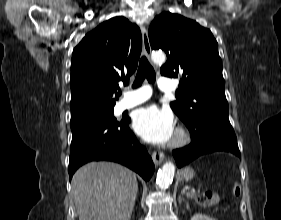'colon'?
Wrapping results in <instances>:
<instances>
[{"instance_id":"1","label":"colon","mask_w":281,"mask_h":220,"mask_svg":"<svg viewBox=\"0 0 281 220\" xmlns=\"http://www.w3.org/2000/svg\"><path fill=\"white\" fill-rule=\"evenodd\" d=\"M233 195L235 197H238L240 196L241 194V187L239 185H235L233 187ZM199 202L202 204V205H205V206H211V205H214L218 202L219 200V196L216 192H213V191H208V192H204L202 193L199 198H198Z\"/></svg>"}]
</instances>
